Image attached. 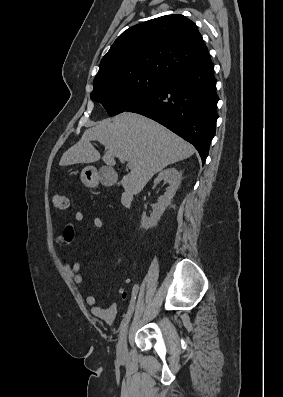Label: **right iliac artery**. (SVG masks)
Listing matches in <instances>:
<instances>
[{
	"instance_id": "1",
	"label": "right iliac artery",
	"mask_w": 283,
	"mask_h": 397,
	"mask_svg": "<svg viewBox=\"0 0 283 397\" xmlns=\"http://www.w3.org/2000/svg\"><path fill=\"white\" fill-rule=\"evenodd\" d=\"M138 292H139L138 286L135 285L133 287V290L131 291L132 298L130 299V305H129L128 311H127L124 319L121 321V324H120V327H119L120 333L124 330L126 324L128 323V321H129V319H130V317H131V315L133 313L134 305L137 302L136 294Z\"/></svg>"
}]
</instances>
